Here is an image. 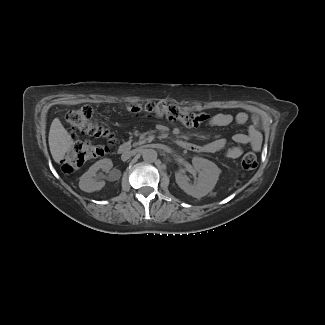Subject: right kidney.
<instances>
[{"label": "right kidney", "mask_w": 325, "mask_h": 325, "mask_svg": "<svg viewBox=\"0 0 325 325\" xmlns=\"http://www.w3.org/2000/svg\"><path fill=\"white\" fill-rule=\"evenodd\" d=\"M113 167L111 159H102L94 163L87 172H85L79 181V188L85 192L99 191L105 186V181L96 178L97 171L100 169L105 172H109Z\"/></svg>", "instance_id": "1"}]
</instances>
